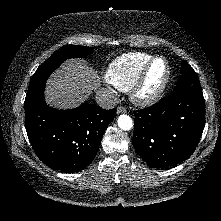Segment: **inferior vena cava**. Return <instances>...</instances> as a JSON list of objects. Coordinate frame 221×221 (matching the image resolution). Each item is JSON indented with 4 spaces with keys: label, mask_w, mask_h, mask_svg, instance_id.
I'll return each instance as SVG.
<instances>
[{
    "label": "inferior vena cava",
    "mask_w": 221,
    "mask_h": 221,
    "mask_svg": "<svg viewBox=\"0 0 221 221\" xmlns=\"http://www.w3.org/2000/svg\"><path fill=\"white\" fill-rule=\"evenodd\" d=\"M117 101V95L111 89L102 88L96 94V102L103 109H113Z\"/></svg>",
    "instance_id": "obj_1"
}]
</instances>
